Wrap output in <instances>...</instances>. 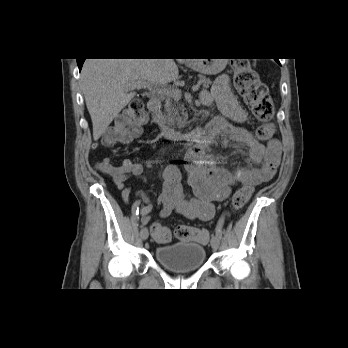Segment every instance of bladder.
<instances>
[{
  "label": "bladder",
  "mask_w": 348,
  "mask_h": 348,
  "mask_svg": "<svg viewBox=\"0 0 348 348\" xmlns=\"http://www.w3.org/2000/svg\"><path fill=\"white\" fill-rule=\"evenodd\" d=\"M156 259L174 273H189L200 268L206 259L205 248L193 241L160 245L155 249Z\"/></svg>",
  "instance_id": "1"
}]
</instances>
